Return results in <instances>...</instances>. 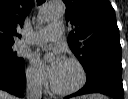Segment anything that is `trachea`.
<instances>
[{
  "label": "trachea",
  "mask_w": 128,
  "mask_h": 99,
  "mask_svg": "<svg viewBox=\"0 0 128 99\" xmlns=\"http://www.w3.org/2000/svg\"><path fill=\"white\" fill-rule=\"evenodd\" d=\"M44 2H45V0H38V1H37V4H38V5H41V4L44 3Z\"/></svg>",
  "instance_id": "trachea-1"
}]
</instances>
